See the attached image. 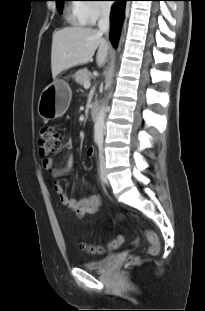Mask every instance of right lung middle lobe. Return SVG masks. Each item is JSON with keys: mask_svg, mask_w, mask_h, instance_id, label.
<instances>
[{"mask_svg": "<svg viewBox=\"0 0 205 311\" xmlns=\"http://www.w3.org/2000/svg\"><path fill=\"white\" fill-rule=\"evenodd\" d=\"M55 1H56L57 9H58L59 12L61 13L62 6H63V2L66 1V0H55Z\"/></svg>", "mask_w": 205, "mask_h": 311, "instance_id": "dd1d6c3e", "label": "right lung middle lobe"}]
</instances>
